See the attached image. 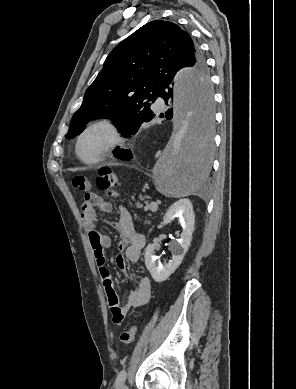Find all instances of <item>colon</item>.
<instances>
[{
	"mask_svg": "<svg viewBox=\"0 0 296 389\" xmlns=\"http://www.w3.org/2000/svg\"><path fill=\"white\" fill-rule=\"evenodd\" d=\"M72 184L77 191L84 194L89 193L90 182L87 179V177L83 175H77L73 178ZM117 184H118L117 176L111 168L103 167L98 171L96 185L100 190L105 191L109 195H114ZM121 321H122V314L118 311L115 312L113 316V322L119 323ZM135 335H136V327L132 326L129 330L121 333L120 341L124 345H129L134 340Z\"/></svg>",
	"mask_w": 296,
	"mask_h": 389,
	"instance_id": "5ec220e1",
	"label": "colon"
}]
</instances>
